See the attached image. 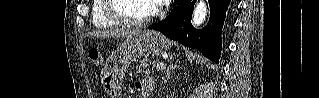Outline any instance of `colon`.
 Here are the masks:
<instances>
[{"mask_svg":"<svg viewBox=\"0 0 319 98\" xmlns=\"http://www.w3.org/2000/svg\"><path fill=\"white\" fill-rule=\"evenodd\" d=\"M89 57L97 65L102 63V56L98 49H95V48L90 49Z\"/></svg>","mask_w":319,"mask_h":98,"instance_id":"colon-1","label":"colon"}]
</instances>
